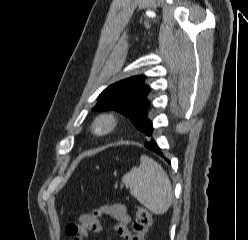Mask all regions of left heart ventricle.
Segmentation results:
<instances>
[{"label":"left heart ventricle","mask_w":248,"mask_h":240,"mask_svg":"<svg viewBox=\"0 0 248 240\" xmlns=\"http://www.w3.org/2000/svg\"><path fill=\"white\" fill-rule=\"evenodd\" d=\"M105 126V123H102L101 125H100V127H104Z\"/></svg>","instance_id":"b2bd125f"}]
</instances>
